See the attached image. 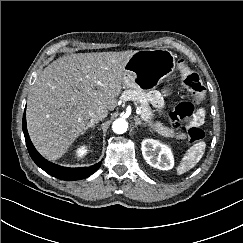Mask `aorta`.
Listing matches in <instances>:
<instances>
[{
	"instance_id": "aorta-1",
	"label": "aorta",
	"mask_w": 243,
	"mask_h": 243,
	"mask_svg": "<svg viewBox=\"0 0 243 243\" xmlns=\"http://www.w3.org/2000/svg\"><path fill=\"white\" fill-rule=\"evenodd\" d=\"M128 123L126 120L119 118L113 122L112 129L116 134H123L127 131Z\"/></svg>"
}]
</instances>
